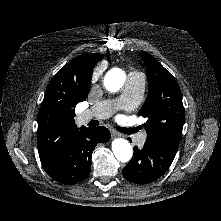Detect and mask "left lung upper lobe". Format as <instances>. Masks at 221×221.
<instances>
[{
    "mask_svg": "<svg viewBox=\"0 0 221 221\" xmlns=\"http://www.w3.org/2000/svg\"><path fill=\"white\" fill-rule=\"evenodd\" d=\"M142 58L146 64L148 96L139 116L147 118L143 124L146 142L178 146L185 118L179 85L152 55L143 51Z\"/></svg>",
    "mask_w": 221,
    "mask_h": 221,
    "instance_id": "1",
    "label": "left lung upper lobe"
}]
</instances>
